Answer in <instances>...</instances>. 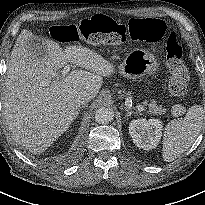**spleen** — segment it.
Masks as SVG:
<instances>
[{"label": "spleen", "instance_id": "obj_1", "mask_svg": "<svg viewBox=\"0 0 205 205\" xmlns=\"http://www.w3.org/2000/svg\"><path fill=\"white\" fill-rule=\"evenodd\" d=\"M205 110L191 106L183 119L170 121L163 137V159L171 162L189 149L200 133Z\"/></svg>", "mask_w": 205, "mask_h": 205}]
</instances>
